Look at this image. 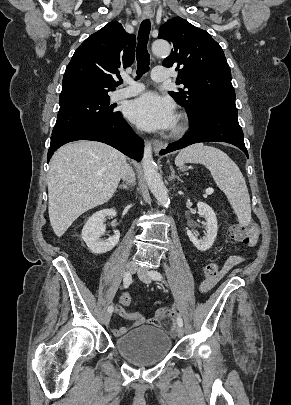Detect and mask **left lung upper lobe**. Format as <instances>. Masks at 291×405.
Returning a JSON list of instances; mask_svg holds the SVG:
<instances>
[{
	"mask_svg": "<svg viewBox=\"0 0 291 405\" xmlns=\"http://www.w3.org/2000/svg\"><path fill=\"white\" fill-rule=\"evenodd\" d=\"M158 38L168 40L173 51L163 66L175 67L184 89L169 94L187 109L189 117H199L204 102L235 99L231 71L221 46L210 34L175 17L160 27Z\"/></svg>",
	"mask_w": 291,
	"mask_h": 405,
	"instance_id": "5c2ea615",
	"label": "left lung upper lobe"
}]
</instances>
